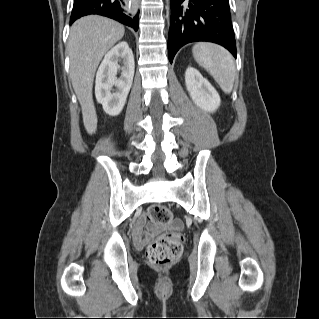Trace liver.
<instances>
[{
    "mask_svg": "<svg viewBox=\"0 0 319 319\" xmlns=\"http://www.w3.org/2000/svg\"><path fill=\"white\" fill-rule=\"evenodd\" d=\"M120 23L98 15L77 20L68 39L70 78L82 109L88 134L97 130V115L92 88L96 69L108 50L124 36Z\"/></svg>",
    "mask_w": 319,
    "mask_h": 319,
    "instance_id": "liver-1",
    "label": "liver"
}]
</instances>
